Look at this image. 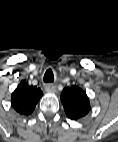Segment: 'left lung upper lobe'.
Wrapping results in <instances>:
<instances>
[{
  "label": "left lung upper lobe",
  "mask_w": 118,
  "mask_h": 142,
  "mask_svg": "<svg viewBox=\"0 0 118 142\" xmlns=\"http://www.w3.org/2000/svg\"><path fill=\"white\" fill-rule=\"evenodd\" d=\"M61 101L66 115L72 120L84 117L91 110L86 93L76 85L63 90Z\"/></svg>",
  "instance_id": "1"
}]
</instances>
